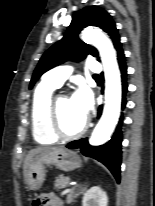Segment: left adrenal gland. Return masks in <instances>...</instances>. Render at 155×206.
I'll use <instances>...</instances> for the list:
<instances>
[{
    "label": "left adrenal gland",
    "instance_id": "a2214340",
    "mask_svg": "<svg viewBox=\"0 0 155 206\" xmlns=\"http://www.w3.org/2000/svg\"><path fill=\"white\" fill-rule=\"evenodd\" d=\"M86 189V186L78 185L76 188L72 189L67 195V203H72L73 199L76 198L78 195L83 193Z\"/></svg>",
    "mask_w": 155,
    "mask_h": 206
}]
</instances>
